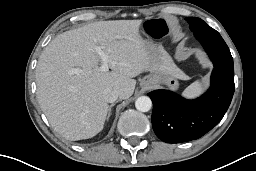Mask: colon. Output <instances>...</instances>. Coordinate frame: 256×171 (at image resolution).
<instances>
[{"label": "colon", "mask_w": 256, "mask_h": 171, "mask_svg": "<svg viewBox=\"0 0 256 171\" xmlns=\"http://www.w3.org/2000/svg\"><path fill=\"white\" fill-rule=\"evenodd\" d=\"M149 33L154 37H160L165 34L166 26L158 21H151L147 24Z\"/></svg>", "instance_id": "5ec220e1"}]
</instances>
